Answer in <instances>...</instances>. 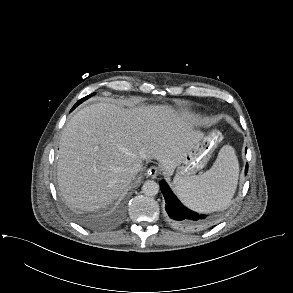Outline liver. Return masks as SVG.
<instances>
[{
    "mask_svg": "<svg viewBox=\"0 0 293 293\" xmlns=\"http://www.w3.org/2000/svg\"><path fill=\"white\" fill-rule=\"evenodd\" d=\"M202 138L190 117L170 106H87L70 119L61 135L57 162L61 195L75 209L104 207L132 182L134 163L156 159L172 174Z\"/></svg>",
    "mask_w": 293,
    "mask_h": 293,
    "instance_id": "liver-1",
    "label": "liver"
}]
</instances>
